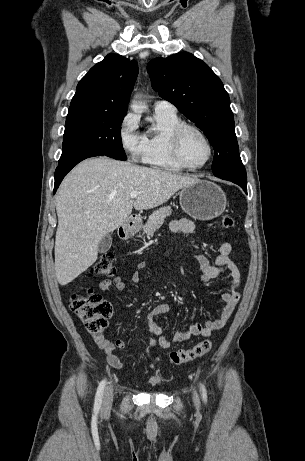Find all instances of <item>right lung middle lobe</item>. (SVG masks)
Listing matches in <instances>:
<instances>
[{
    "instance_id": "1",
    "label": "right lung middle lobe",
    "mask_w": 305,
    "mask_h": 461,
    "mask_svg": "<svg viewBox=\"0 0 305 461\" xmlns=\"http://www.w3.org/2000/svg\"><path fill=\"white\" fill-rule=\"evenodd\" d=\"M124 116L88 109L69 110L59 162L89 155L126 160L120 131Z\"/></svg>"
}]
</instances>
